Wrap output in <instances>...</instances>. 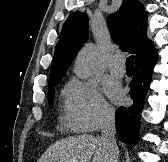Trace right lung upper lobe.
<instances>
[{
	"label": "right lung upper lobe",
	"mask_w": 168,
	"mask_h": 162,
	"mask_svg": "<svg viewBox=\"0 0 168 162\" xmlns=\"http://www.w3.org/2000/svg\"><path fill=\"white\" fill-rule=\"evenodd\" d=\"M147 12L138 0H123L120 9L108 17L111 35L123 51L135 53L136 61L148 56L155 48L146 37ZM88 17L75 12L65 21L55 48L49 84L60 81L78 50L88 39Z\"/></svg>",
	"instance_id": "1"
}]
</instances>
